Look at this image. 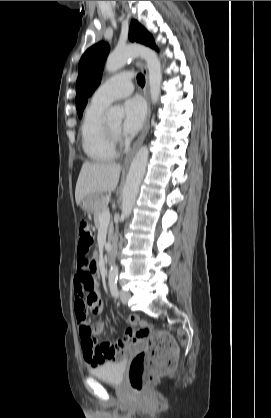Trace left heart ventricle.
<instances>
[{
	"label": "left heart ventricle",
	"mask_w": 271,
	"mask_h": 418,
	"mask_svg": "<svg viewBox=\"0 0 271 418\" xmlns=\"http://www.w3.org/2000/svg\"><path fill=\"white\" fill-rule=\"evenodd\" d=\"M108 126H109V127H110L113 131L119 132L120 127H121V124H120V122H115V123H110V124H108Z\"/></svg>",
	"instance_id": "1"
}]
</instances>
